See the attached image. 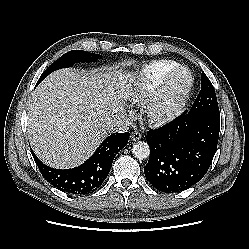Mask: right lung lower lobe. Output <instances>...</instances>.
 Returning <instances> with one entry per match:
<instances>
[{
	"label": "right lung lower lobe",
	"mask_w": 249,
	"mask_h": 249,
	"mask_svg": "<svg viewBox=\"0 0 249 249\" xmlns=\"http://www.w3.org/2000/svg\"><path fill=\"white\" fill-rule=\"evenodd\" d=\"M129 135L125 132L108 136L84 164L72 169L46 166L31 152L42 176L50 184L70 194L84 195L95 191L104 182L115 155L127 145Z\"/></svg>",
	"instance_id": "obj_1"
}]
</instances>
